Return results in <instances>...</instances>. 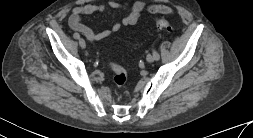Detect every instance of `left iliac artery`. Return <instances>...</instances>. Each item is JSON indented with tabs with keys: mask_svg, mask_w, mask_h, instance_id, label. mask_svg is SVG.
Masks as SVG:
<instances>
[{
	"mask_svg": "<svg viewBox=\"0 0 253 138\" xmlns=\"http://www.w3.org/2000/svg\"><path fill=\"white\" fill-rule=\"evenodd\" d=\"M153 53H154L155 60H159L160 56L155 49L153 50Z\"/></svg>",
	"mask_w": 253,
	"mask_h": 138,
	"instance_id": "obj_1",
	"label": "left iliac artery"
}]
</instances>
